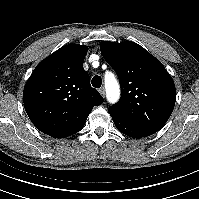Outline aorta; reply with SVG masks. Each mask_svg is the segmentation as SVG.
I'll return each instance as SVG.
<instances>
[{"mask_svg":"<svg viewBox=\"0 0 199 199\" xmlns=\"http://www.w3.org/2000/svg\"><path fill=\"white\" fill-rule=\"evenodd\" d=\"M106 97L110 103H116L120 98V87L114 76H105Z\"/></svg>","mask_w":199,"mask_h":199,"instance_id":"obj_1","label":"aorta"}]
</instances>
